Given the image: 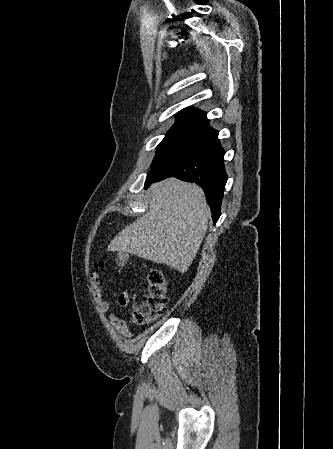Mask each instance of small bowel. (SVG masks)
I'll return each instance as SVG.
<instances>
[{
    "mask_svg": "<svg viewBox=\"0 0 333 449\" xmlns=\"http://www.w3.org/2000/svg\"><path fill=\"white\" fill-rule=\"evenodd\" d=\"M91 287L93 295L97 304L98 309L101 312H108L111 308V304L104 297V288L101 281L100 274L95 270L91 276ZM130 301V294L127 290H122L118 295L117 303L119 307L124 308L128 305ZM110 321L118 331V333L124 338H130L131 333L127 327L125 320L117 317L116 315H110Z\"/></svg>",
    "mask_w": 333,
    "mask_h": 449,
    "instance_id": "small-bowel-1",
    "label": "small bowel"
}]
</instances>
